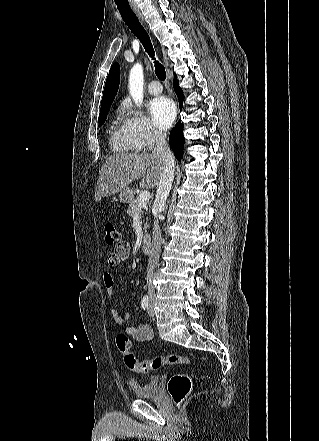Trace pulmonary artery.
Masks as SVG:
<instances>
[{"instance_id": "obj_1", "label": "pulmonary artery", "mask_w": 319, "mask_h": 441, "mask_svg": "<svg viewBox=\"0 0 319 441\" xmlns=\"http://www.w3.org/2000/svg\"><path fill=\"white\" fill-rule=\"evenodd\" d=\"M148 91L152 95H158L162 92V86L158 81L154 80L150 82L148 86Z\"/></svg>"}]
</instances>
